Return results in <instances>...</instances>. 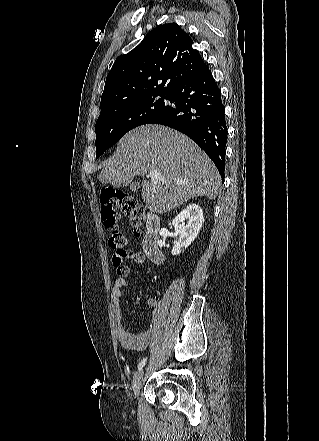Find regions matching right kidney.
<instances>
[{
  "label": "right kidney",
  "instance_id": "ca27d5eb",
  "mask_svg": "<svg viewBox=\"0 0 319 441\" xmlns=\"http://www.w3.org/2000/svg\"><path fill=\"white\" fill-rule=\"evenodd\" d=\"M204 222L203 211L196 203H191L173 219L172 225L178 240L174 243L172 255L184 251L199 234Z\"/></svg>",
  "mask_w": 319,
  "mask_h": 441
}]
</instances>
